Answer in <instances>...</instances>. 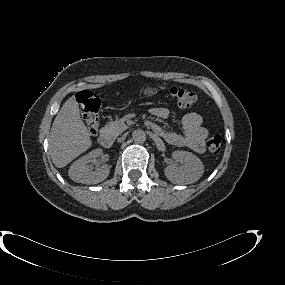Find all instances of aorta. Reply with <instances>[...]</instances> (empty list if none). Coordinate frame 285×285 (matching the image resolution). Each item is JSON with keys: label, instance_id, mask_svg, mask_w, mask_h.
<instances>
[{"label": "aorta", "instance_id": "obj_1", "mask_svg": "<svg viewBox=\"0 0 285 285\" xmlns=\"http://www.w3.org/2000/svg\"><path fill=\"white\" fill-rule=\"evenodd\" d=\"M132 138L136 143H143L146 141V133L141 129L134 130Z\"/></svg>", "mask_w": 285, "mask_h": 285}]
</instances>
